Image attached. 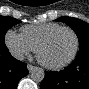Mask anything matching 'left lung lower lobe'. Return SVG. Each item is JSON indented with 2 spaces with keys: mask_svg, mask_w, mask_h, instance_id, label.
I'll return each instance as SVG.
<instances>
[{
  "mask_svg": "<svg viewBox=\"0 0 89 89\" xmlns=\"http://www.w3.org/2000/svg\"><path fill=\"white\" fill-rule=\"evenodd\" d=\"M40 89H89V48L80 49L71 65L60 72H45Z\"/></svg>",
  "mask_w": 89,
  "mask_h": 89,
  "instance_id": "obj_1",
  "label": "left lung lower lobe"
}]
</instances>
